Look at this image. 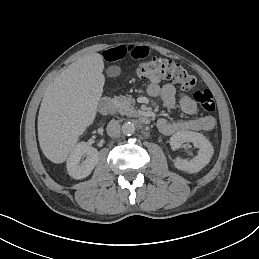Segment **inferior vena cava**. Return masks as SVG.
I'll use <instances>...</instances> for the list:
<instances>
[{
  "instance_id": "602c4592",
  "label": "inferior vena cava",
  "mask_w": 259,
  "mask_h": 259,
  "mask_svg": "<svg viewBox=\"0 0 259 259\" xmlns=\"http://www.w3.org/2000/svg\"><path fill=\"white\" fill-rule=\"evenodd\" d=\"M121 127L119 122L117 121H111L107 125V134L112 138H117L120 136Z\"/></svg>"
}]
</instances>
